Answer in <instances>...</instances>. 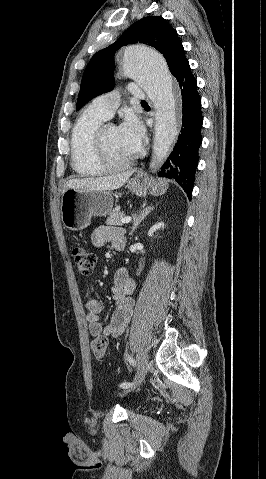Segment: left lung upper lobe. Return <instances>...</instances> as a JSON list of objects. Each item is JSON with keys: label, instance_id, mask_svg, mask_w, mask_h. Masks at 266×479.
<instances>
[{"label": "left lung upper lobe", "instance_id": "obj_1", "mask_svg": "<svg viewBox=\"0 0 266 479\" xmlns=\"http://www.w3.org/2000/svg\"><path fill=\"white\" fill-rule=\"evenodd\" d=\"M132 43L148 44L160 51L173 76L188 61L176 30L160 16L145 17L131 25L116 42L91 58L82 77L77 109L94 97L113 89L114 54L122 46Z\"/></svg>", "mask_w": 266, "mask_h": 479}]
</instances>
